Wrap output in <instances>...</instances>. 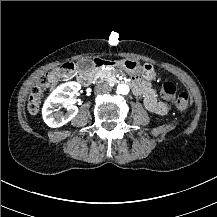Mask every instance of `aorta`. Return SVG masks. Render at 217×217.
<instances>
[{
  "label": "aorta",
  "instance_id": "1",
  "mask_svg": "<svg viewBox=\"0 0 217 217\" xmlns=\"http://www.w3.org/2000/svg\"><path fill=\"white\" fill-rule=\"evenodd\" d=\"M117 91L119 94L127 95L130 92V87L127 84H120L117 87Z\"/></svg>",
  "mask_w": 217,
  "mask_h": 217
}]
</instances>
